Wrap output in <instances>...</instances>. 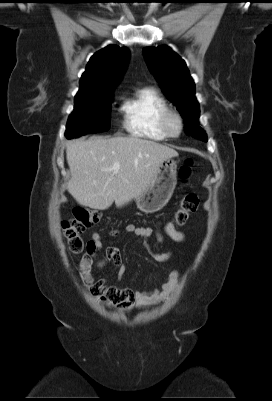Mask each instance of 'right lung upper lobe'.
Listing matches in <instances>:
<instances>
[{
    "instance_id": "obj_1",
    "label": "right lung upper lobe",
    "mask_w": 272,
    "mask_h": 401,
    "mask_svg": "<svg viewBox=\"0 0 272 401\" xmlns=\"http://www.w3.org/2000/svg\"><path fill=\"white\" fill-rule=\"evenodd\" d=\"M130 58L128 48L109 45L89 60L80 79L75 98L104 91H113L120 82Z\"/></svg>"
}]
</instances>
